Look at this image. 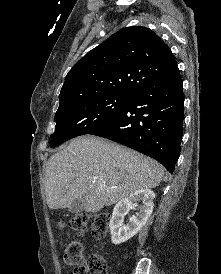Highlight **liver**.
<instances>
[{"mask_svg": "<svg viewBox=\"0 0 221 274\" xmlns=\"http://www.w3.org/2000/svg\"><path fill=\"white\" fill-rule=\"evenodd\" d=\"M163 176L164 169L155 160L87 135L49 158L44 189L50 209L67 208L84 197V210L95 213L138 190L157 187Z\"/></svg>", "mask_w": 221, "mask_h": 274, "instance_id": "liver-1", "label": "liver"}]
</instances>
